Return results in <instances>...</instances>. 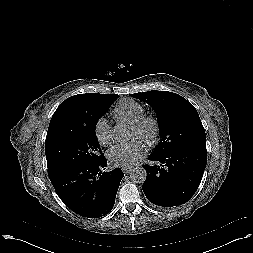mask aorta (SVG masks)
Returning <instances> with one entry per match:
<instances>
[{
  "label": "aorta",
  "instance_id": "1",
  "mask_svg": "<svg viewBox=\"0 0 253 253\" xmlns=\"http://www.w3.org/2000/svg\"><path fill=\"white\" fill-rule=\"evenodd\" d=\"M114 134L118 140H126L130 137L129 129L126 125L119 124L115 126ZM147 173L143 168H134L130 173V178L134 183H144Z\"/></svg>",
  "mask_w": 253,
  "mask_h": 253
}]
</instances>
